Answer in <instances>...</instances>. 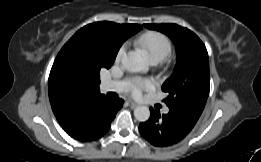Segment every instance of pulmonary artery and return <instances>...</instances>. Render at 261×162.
<instances>
[{"label": "pulmonary artery", "instance_id": "obj_1", "mask_svg": "<svg viewBox=\"0 0 261 162\" xmlns=\"http://www.w3.org/2000/svg\"><path fill=\"white\" fill-rule=\"evenodd\" d=\"M158 62H160L159 59H152L151 63L153 65L157 64ZM131 87L130 83L127 82H122V81H116V80H107L104 81L102 83V90L105 92H123V91H127L129 88ZM163 113L167 114L169 112V108L168 107H164L163 108Z\"/></svg>", "mask_w": 261, "mask_h": 162}]
</instances>
